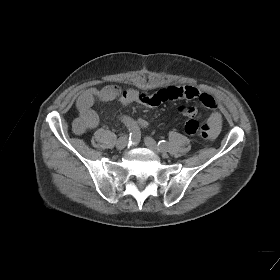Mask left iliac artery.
<instances>
[{"mask_svg":"<svg viewBox=\"0 0 280 280\" xmlns=\"http://www.w3.org/2000/svg\"><path fill=\"white\" fill-rule=\"evenodd\" d=\"M158 145L160 146V148L165 149L168 146V142L165 140H161L159 141Z\"/></svg>","mask_w":280,"mask_h":280,"instance_id":"left-iliac-artery-1","label":"left iliac artery"}]
</instances>
